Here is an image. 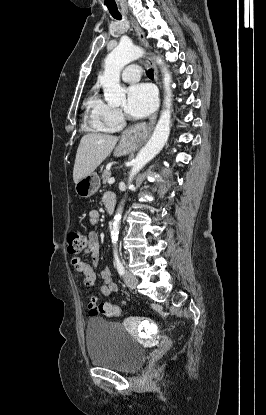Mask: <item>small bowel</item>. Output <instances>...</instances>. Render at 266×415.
<instances>
[{"label": "small bowel", "mask_w": 266, "mask_h": 415, "mask_svg": "<svg viewBox=\"0 0 266 415\" xmlns=\"http://www.w3.org/2000/svg\"><path fill=\"white\" fill-rule=\"evenodd\" d=\"M103 202L105 205L110 202L115 204L116 200L114 194L110 192L106 193L103 197ZM99 217L100 215L97 210L90 211L88 214V221L90 225H96L99 221ZM83 253L90 257V263L84 262L80 256H74L71 259V264L77 272L82 274L84 284L87 286H93L96 282L95 267L98 265L100 259V244L96 233L91 232L89 234L88 244ZM100 276L103 279V285L101 286L102 294L108 296L113 293H117L118 286L114 282L111 272L107 268L101 270ZM96 306L97 298L92 296L88 304L89 314L91 316L97 315L95 312Z\"/></svg>", "instance_id": "c3829d8e"}]
</instances>
